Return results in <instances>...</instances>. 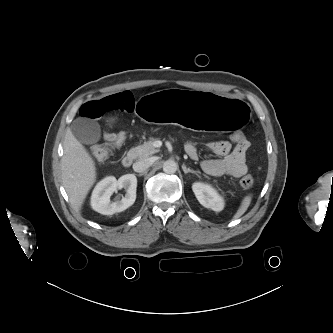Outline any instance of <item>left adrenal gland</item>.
Here are the masks:
<instances>
[{
	"instance_id": "obj_1",
	"label": "left adrenal gland",
	"mask_w": 333,
	"mask_h": 333,
	"mask_svg": "<svg viewBox=\"0 0 333 333\" xmlns=\"http://www.w3.org/2000/svg\"><path fill=\"white\" fill-rule=\"evenodd\" d=\"M182 169H183V171H184L185 174H187V173H194V174L200 173L199 171H194V170H192L190 168H186L185 165L182 166Z\"/></svg>"
}]
</instances>
